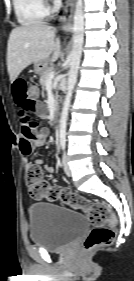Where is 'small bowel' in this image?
I'll return each instance as SVG.
<instances>
[{
  "label": "small bowel",
  "mask_w": 134,
  "mask_h": 281,
  "mask_svg": "<svg viewBox=\"0 0 134 281\" xmlns=\"http://www.w3.org/2000/svg\"><path fill=\"white\" fill-rule=\"evenodd\" d=\"M29 84L26 79L17 77L12 81L11 89L13 98L18 106V115L22 124L20 148L26 157H30L36 147L46 143L48 131L46 129H38L37 123L30 120V114L34 113L38 117L46 115L45 105L36 100L32 101L28 97ZM27 168L30 166H42L43 160L36 158L33 162L27 161ZM44 169L53 174L55 168L51 165H44Z\"/></svg>",
  "instance_id": "c3829d8e"
}]
</instances>
